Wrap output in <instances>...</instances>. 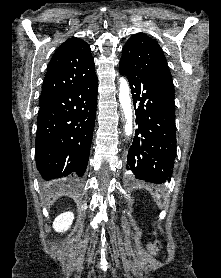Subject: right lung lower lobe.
<instances>
[{"mask_svg": "<svg viewBox=\"0 0 221 278\" xmlns=\"http://www.w3.org/2000/svg\"><path fill=\"white\" fill-rule=\"evenodd\" d=\"M97 76L40 95L37 169L48 182L71 181L87 167L97 106Z\"/></svg>", "mask_w": 221, "mask_h": 278, "instance_id": "98d812e1", "label": "right lung lower lobe"}]
</instances>
